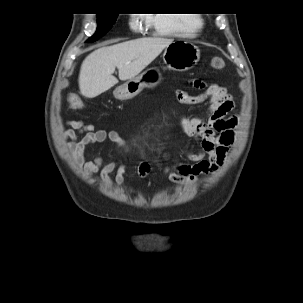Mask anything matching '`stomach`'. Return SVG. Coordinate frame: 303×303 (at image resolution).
Instances as JSON below:
<instances>
[{"mask_svg": "<svg viewBox=\"0 0 303 303\" xmlns=\"http://www.w3.org/2000/svg\"><path fill=\"white\" fill-rule=\"evenodd\" d=\"M200 59V50L187 41H173L164 50L163 61L168 68L175 71H187L196 65ZM162 80V74L157 68L145 70L140 75L129 79L114 90V96L119 100H127L138 95L144 88H153Z\"/></svg>", "mask_w": 303, "mask_h": 303, "instance_id": "stomach-1", "label": "stomach"}]
</instances>
